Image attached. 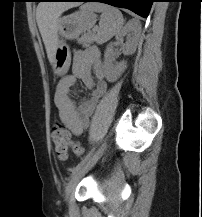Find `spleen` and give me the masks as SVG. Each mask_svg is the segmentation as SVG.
Returning <instances> with one entry per match:
<instances>
[{
	"label": "spleen",
	"instance_id": "1",
	"mask_svg": "<svg viewBox=\"0 0 202 217\" xmlns=\"http://www.w3.org/2000/svg\"><path fill=\"white\" fill-rule=\"evenodd\" d=\"M83 8L101 13L99 31L96 36L98 44L108 41L122 30L124 20L122 13L117 8L103 3H89Z\"/></svg>",
	"mask_w": 202,
	"mask_h": 217
}]
</instances>
